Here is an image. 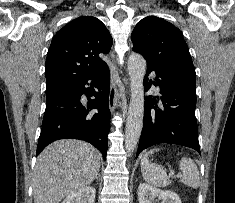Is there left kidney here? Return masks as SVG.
I'll return each mask as SVG.
<instances>
[{
	"label": "left kidney",
	"mask_w": 235,
	"mask_h": 203,
	"mask_svg": "<svg viewBox=\"0 0 235 203\" xmlns=\"http://www.w3.org/2000/svg\"><path fill=\"white\" fill-rule=\"evenodd\" d=\"M137 191L139 203H155L157 199L161 203H182L175 192L160 190L147 183H140Z\"/></svg>",
	"instance_id": "1"
}]
</instances>
